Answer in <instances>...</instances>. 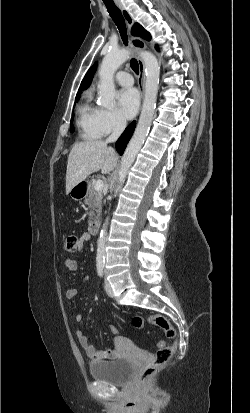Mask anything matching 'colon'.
Masks as SVG:
<instances>
[{
    "label": "colon",
    "instance_id": "5ec220e1",
    "mask_svg": "<svg viewBox=\"0 0 250 413\" xmlns=\"http://www.w3.org/2000/svg\"><path fill=\"white\" fill-rule=\"evenodd\" d=\"M80 247V239L74 235L69 234L64 241V249L67 252H76ZM132 324L135 328L141 329L146 325H154L160 327L166 334L167 338L173 340L171 345H166L164 341H159L157 343V351L153 359L146 364L139 375V379L142 382H147L155 372L165 364L175 353L177 348V343L175 341L176 332L170 322L162 315L155 314L150 316L136 315L132 318ZM109 331L112 332L115 339L121 338L120 329L116 328L115 325H108Z\"/></svg>",
    "mask_w": 250,
    "mask_h": 413
}]
</instances>
